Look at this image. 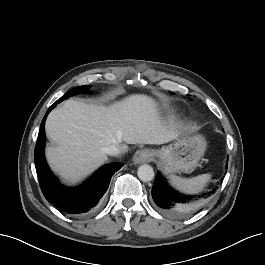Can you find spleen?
I'll use <instances>...</instances> for the list:
<instances>
[{
	"mask_svg": "<svg viewBox=\"0 0 265 265\" xmlns=\"http://www.w3.org/2000/svg\"><path fill=\"white\" fill-rule=\"evenodd\" d=\"M170 183L176 189L187 193L196 194L201 192L211 179V174H202L192 178H182L176 175H170Z\"/></svg>",
	"mask_w": 265,
	"mask_h": 265,
	"instance_id": "obj_1",
	"label": "spleen"
}]
</instances>
